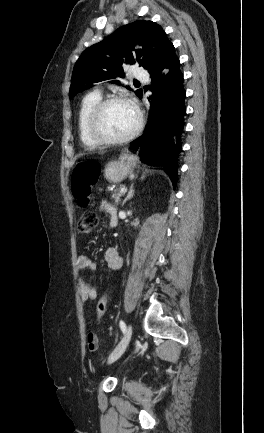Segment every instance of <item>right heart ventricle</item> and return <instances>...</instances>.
Masks as SVG:
<instances>
[{"label": "right heart ventricle", "instance_id": "1", "mask_svg": "<svg viewBox=\"0 0 264 433\" xmlns=\"http://www.w3.org/2000/svg\"><path fill=\"white\" fill-rule=\"evenodd\" d=\"M101 99H102V95L99 91H92L83 97L79 106L78 115H77L78 134L82 144L86 146L98 145L92 140V138L89 136L87 132V119L93 107Z\"/></svg>", "mask_w": 264, "mask_h": 433}]
</instances>
